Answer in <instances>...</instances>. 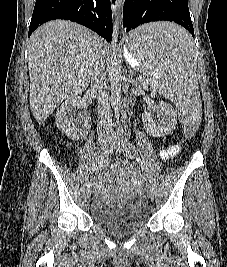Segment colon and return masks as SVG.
<instances>
[{"instance_id": "1", "label": "colon", "mask_w": 227, "mask_h": 267, "mask_svg": "<svg viewBox=\"0 0 227 267\" xmlns=\"http://www.w3.org/2000/svg\"><path fill=\"white\" fill-rule=\"evenodd\" d=\"M177 124L180 125L181 131H184V135L181 136L182 140H193L196 132L194 131V124L189 123L188 115H181V113H176Z\"/></svg>"}]
</instances>
